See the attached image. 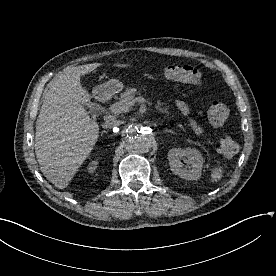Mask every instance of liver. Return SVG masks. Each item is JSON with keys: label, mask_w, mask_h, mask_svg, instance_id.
<instances>
[{"label": "liver", "mask_w": 276, "mask_h": 276, "mask_svg": "<svg viewBox=\"0 0 276 276\" xmlns=\"http://www.w3.org/2000/svg\"><path fill=\"white\" fill-rule=\"evenodd\" d=\"M100 65L67 68L44 93L36 121L35 153L41 172L59 189L69 185L99 137L98 124L83 107L92 96L80 78Z\"/></svg>", "instance_id": "6515ba94"}]
</instances>
